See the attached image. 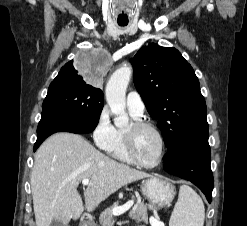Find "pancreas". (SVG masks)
<instances>
[{
  "label": "pancreas",
  "instance_id": "obj_1",
  "mask_svg": "<svg viewBox=\"0 0 247 226\" xmlns=\"http://www.w3.org/2000/svg\"><path fill=\"white\" fill-rule=\"evenodd\" d=\"M118 202L107 208L100 214L99 221L102 226H113V209L118 207ZM129 217L137 222H148L147 207L143 203H136L135 207L129 212Z\"/></svg>",
  "mask_w": 247,
  "mask_h": 226
}]
</instances>
